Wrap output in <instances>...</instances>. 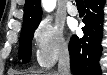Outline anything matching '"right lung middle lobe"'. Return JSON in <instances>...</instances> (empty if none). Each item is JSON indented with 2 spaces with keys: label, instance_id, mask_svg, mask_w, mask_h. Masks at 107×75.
Returning a JSON list of instances; mask_svg holds the SVG:
<instances>
[{
  "label": "right lung middle lobe",
  "instance_id": "1",
  "mask_svg": "<svg viewBox=\"0 0 107 75\" xmlns=\"http://www.w3.org/2000/svg\"><path fill=\"white\" fill-rule=\"evenodd\" d=\"M39 23H26L23 24L20 36V49L19 58L23 63H27L31 57V42L33 39L34 31Z\"/></svg>",
  "mask_w": 107,
  "mask_h": 75
}]
</instances>
